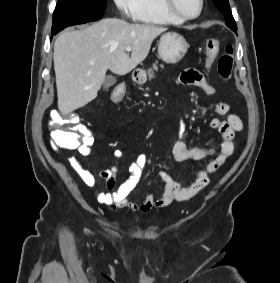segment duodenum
I'll return each mask as SVG.
<instances>
[{
    "label": "duodenum",
    "instance_id": "obj_1",
    "mask_svg": "<svg viewBox=\"0 0 280 283\" xmlns=\"http://www.w3.org/2000/svg\"><path fill=\"white\" fill-rule=\"evenodd\" d=\"M133 80L137 84H143L145 82V77L140 73L133 74Z\"/></svg>",
    "mask_w": 280,
    "mask_h": 283
}]
</instances>
